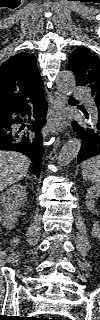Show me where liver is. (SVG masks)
Instances as JSON below:
<instances>
[{
    "mask_svg": "<svg viewBox=\"0 0 100 320\" xmlns=\"http://www.w3.org/2000/svg\"><path fill=\"white\" fill-rule=\"evenodd\" d=\"M30 160L16 151L0 152V190L22 180L27 175Z\"/></svg>",
    "mask_w": 100,
    "mask_h": 320,
    "instance_id": "1",
    "label": "liver"
}]
</instances>
